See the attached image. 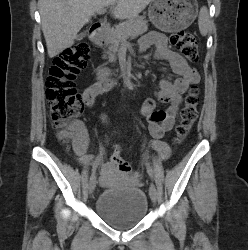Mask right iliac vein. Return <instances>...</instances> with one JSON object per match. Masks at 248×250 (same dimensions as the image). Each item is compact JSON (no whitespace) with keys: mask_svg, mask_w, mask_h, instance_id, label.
<instances>
[{"mask_svg":"<svg viewBox=\"0 0 248 250\" xmlns=\"http://www.w3.org/2000/svg\"><path fill=\"white\" fill-rule=\"evenodd\" d=\"M96 177L95 176H92L90 178V181H89V185H88V190H89V193L92 194L95 190V187H96Z\"/></svg>","mask_w":248,"mask_h":250,"instance_id":"obj_1","label":"right iliac vein"}]
</instances>
